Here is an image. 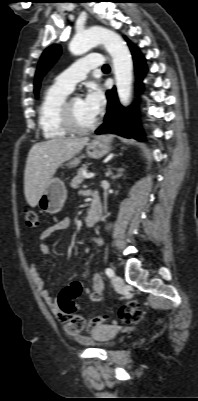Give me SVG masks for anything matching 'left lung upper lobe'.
<instances>
[{
	"mask_svg": "<svg viewBox=\"0 0 198 401\" xmlns=\"http://www.w3.org/2000/svg\"><path fill=\"white\" fill-rule=\"evenodd\" d=\"M60 53H61V47L59 45H52L43 52L35 75L34 92L36 96L38 95L42 77L46 74L49 68L56 62V60L60 56Z\"/></svg>",
	"mask_w": 198,
	"mask_h": 401,
	"instance_id": "1",
	"label": "left lung upper lobe"
}]
</instances>
